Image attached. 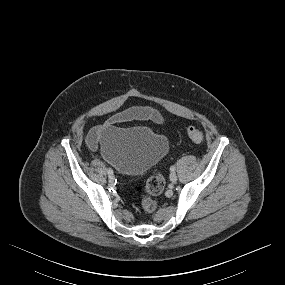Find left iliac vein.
Returning a JSON list of instances; mask_svg holds the SVG:
<instances>
[{"label": "left iliac vein", "mask_w": 285, "mask_h": 285, "mask_svg": "<svg viewBox=\"0 0 285 285\" xmlns=\"http://www.w3.org/2000/svg\"><path fill=\"white\" fill-rule=\"evenodd\" d=\"M169 178H170V181H171V182H176V181H177V175H176V173L172 172V173L170 174Z\"/></svg>", "instance_id": "left-iliac-vein-1"}]
</instances>
